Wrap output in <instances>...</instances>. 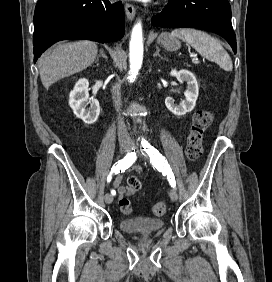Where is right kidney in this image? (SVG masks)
Listing matches in <instances>:
<instances>
[{
    "label": "right kidney",
    "mask_w": 272,
    "mask_h": 282,
    "mask_svg": "<svg viewBox=\"0 0 272 282\" xmlns=\"http://www.w3.org/2000/svg\"><path fill=\"white\" fill-rule=\"evenodd\" d=\"M89 82L85 78L79 79L69 94V105L77 118L87 125L95 123L100 114V105L97 99L89 97ZM90 104V109L86 106Z\"/></svg>",
    "instance_id": "1"
}]
</instances>
